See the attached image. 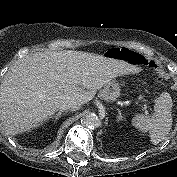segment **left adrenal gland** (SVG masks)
I'll return each mask as SVG.
<instances>
[{"instance_id": "left-adrenal-gland-1", "label": "left adrenal gland", "mask_w": 177, "mask_h": 177, "mask_svg": "<svg viewBox=\"0 0 177 177\" xmlns=\"http://www.w3.org/2000/svg\"><path fill=\"white\" fill-rule=\"evenodd\" d=\"M117 111H118L117 122L123 121L124 119H123V116H122V114H121V111H120L119 109H117Z\"/></svg>"}]
</instances>
